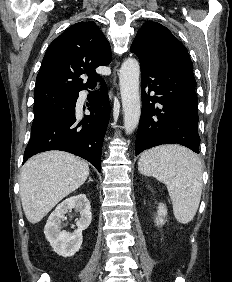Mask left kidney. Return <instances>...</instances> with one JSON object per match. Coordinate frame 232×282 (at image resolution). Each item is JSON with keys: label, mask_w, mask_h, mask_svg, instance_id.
<instances>
[{"label": "left kidney", "mask_w": 232, "mask_h": 282, "mask_svg": "<svg viewBox=\"0 0 232 282\" xmlns=\"http://www.w3.org/2000/svg\"><path fill=\"white\" fill-rule=\"evenodd\" d=\"M157 213H158V217H157V220H156L157 225L164 224V218L167 215L166 206L164 204L160 203L159 206H158Z\"/></svg>", "instance_id": "left-kidney-1"}]
</instances>
